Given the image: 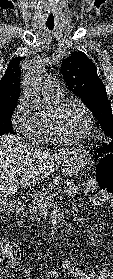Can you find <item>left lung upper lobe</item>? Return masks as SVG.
I'll use <instances>...</instances> for the list:
<instances>
[{
	"instance_id": "1",
	"label": "left lung upper lobe",
	"mask_w": 113,
	"mask_h": 279,
	"mask_svg": "<svg viewBox=\"0 0 113 279\" xmlns=\"http://www.w3.org/2000/svg\"><path fill=\"white\" fill-rule=\"evenodd\" d=\"M68 88L78 96L98 120L104 134L113 139V116L105 86L95 64L81 51L61 64Z\"/></svg>"
}]
</instances>
